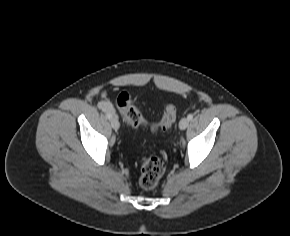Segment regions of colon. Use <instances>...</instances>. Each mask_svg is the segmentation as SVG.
Segmentation results:
<instances>
[{"label": "colon", "mask_w": 290, "mask_h": 236, "mask_svg": "<svg viewBox=\"0 0 290 236\" xmlns=\"http://www.w3.org/2000/svg\"><path fill=\"white\" fill-rule=\"evenodd\" d=\"M116 104L126 122L133 127H147L153 131L167 130L174 124L177 117L175 106L168 104L159 120L149 122L143 113L132 104L130 95L127 92H121L118 95ZM164 170V162L160 157L150 156L145 158L139 178L140 186L145 190L155 188L159 184Z\"/></svg>", "instance_id": "obj_1"}]
</instances>
